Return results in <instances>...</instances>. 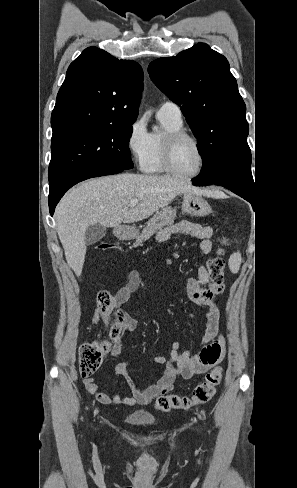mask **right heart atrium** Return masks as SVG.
<instances>
[{"instance_id":"d8ad5b80","label":"right heart atrium","mask_w":297,"mask_h":488,"mask_svg":"<svg viewBox=\"0 0 297 488\" xmlns=\"http://www.w3.org/2000/svg\"><path fill=\"white\" fill-rule=\"evenodd\" d=\"M149 137L144 119L137 118L129 128L126 147L132 159L140 167L143 166L148 156Z\"/></svg>"}]
</instances>
